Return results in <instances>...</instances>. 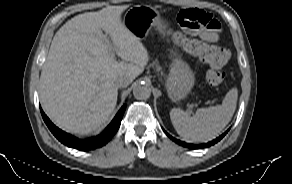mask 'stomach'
Instances as JSON below:
<instances>
[{"label":"stomach","mask_w":292,"mask_h":184,"mask_svg":"<svg viewBox=\"0 0 292 184\" xmlns=\"http://www.w3.org/2000/svg\"><path fill=\"white\" fill-rule=\"evenodd\" d=\"M123 24L140 40L148 35L152 27L156 26L161 33L164 32L158 11L150 6L131 7L125 13ZM194 80V73L189 65L179 55L174 54L165 83L169 97L173 101L185 98Z\"/></svg>","instance_id":"stomach-1"}]
</instances>
